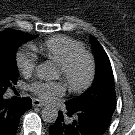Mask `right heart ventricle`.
<instances>
[{"mask_svg": "<svg viewBox=\"0 0 135 135\" xmlns=\"http://www.w3.org/2000/svg\"><path fill=\"white\" fill-rule=\"evenodd\" d=\"M32 49L57 65L64 63L72 55L85 51L83 44L67 36L58 35L46 39L42 45H32Z\"/></svg>", "mask_w": 135, "mask_h": 135, "instance_id": "e07e8e85", "label": "right heart ventricle"}]
</instances>
